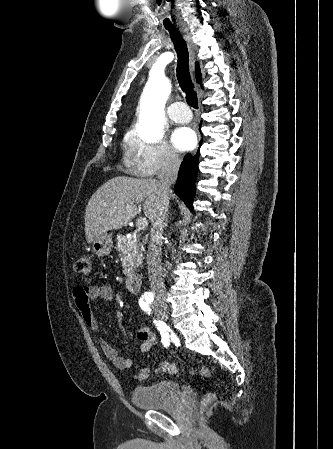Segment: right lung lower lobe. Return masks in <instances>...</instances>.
Instances as JSON below:
<instances>
[{
    "mask_svg": "<svg viewBox=\"0 0 333 449\" xmlns=\"http://www.w3.org/2000/svg\"><path fill=\"white\" fill-rule=\"evenodd\" d=\"M201 146V144H200ZM199 154H187L181 163L175 193L193 210L192 202L195 195V180L198 170Z\"/></svg>",
    "mask_w": 333,
    "mask_h": 449,
    "instance_id": "98d812e1",
    "label": "right lung lower lobe"
}]
</instances>
